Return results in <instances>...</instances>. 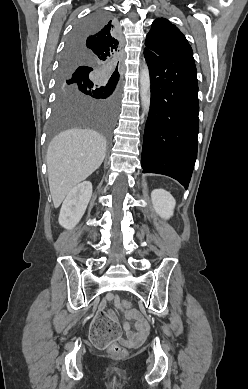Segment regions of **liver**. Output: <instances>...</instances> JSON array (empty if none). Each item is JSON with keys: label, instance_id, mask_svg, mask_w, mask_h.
I'll return each mask as SVG.
<instances>
[{"label": "liver", "instance_id": "obj_1", "mask_svg": "<svg viewBox=\"0 0 248 389\" xmlns=\"http://www.w3.org/2000/svg\"><path fill=\"white\" fill-rule=\"evenodd\" d=\"M105 155V138L91 129L65 130L52 139L46 162L55 208L76 185L100 167Z\"/></svg>", "mask_w": 248, "mask_h": 389}]
</instances>
